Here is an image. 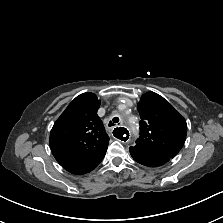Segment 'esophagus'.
<instances>
[{
    "label": "esophagus",
    "mask_w": 223,
    "mask_h": 223,
    "mask_svg": "<svg viewBox=\"0 0 223 223\" xmlns=\"http://www.w3.org/2000/svg\"><path fill=\"white\" fill-rule=\"evenodd\" d=\"M113 137L122 143H128L130 140V132L122 126H117L113 129Z\"/></svg>",
    "instance_id": "1"
}]
</instances>
